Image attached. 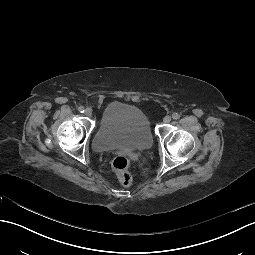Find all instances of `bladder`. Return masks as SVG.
<instances>
[{
    "label": "bladder",
    "mask_w": 255,
    "mask_h": 255,
    "mask_svg": "<svg viewBox=\"0 0 255 255\" xmlns=\"http://www.w3.org/2000/svg\"><path fill=\"white\" fill-rule=\"evenodd\" d=\"M153 141L148 118L139 108L122 103L106 107L95 133L94 148L97 151L123 148L145 149Z\"/></svg>",
    "instance_id": "31cf9c89"
}]
</instances>
